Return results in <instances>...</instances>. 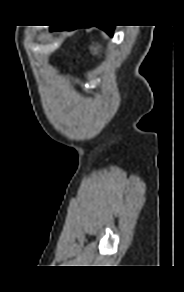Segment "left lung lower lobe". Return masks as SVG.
Wrapping results in <instances>:
<instances>
[{
    "mask_svg": "<svg viewBox=\"0 0 184 292\" xmlns=\"http://www.w3.org/2000/svg\"><path fill=\"white\" fill-rule=\"evenodd\" d=\"M81 26H76V27H52L51 30H72V29H76L79 28ZM99 28L103 29L106 33H108L109 35L113 34V30H114V26H98Z\"/></svg>",
    "mask_w": 184,
    "mask_h": 292,
    "instance_id": "left-lung-lower-lobe-1",
    "label": "left lung lower lobe"
}]
</instances>
